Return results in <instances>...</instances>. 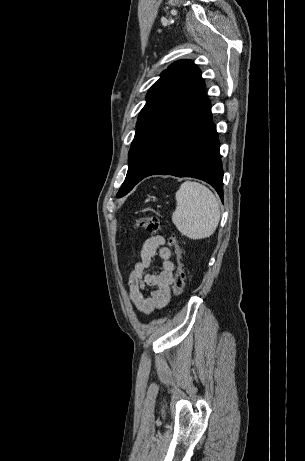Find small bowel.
Returning a JSON list of instances; mask_svg holds the SVG:
<instances>
[{"label": "small bowel", "instance_id": "small-bowel-1", "mask_svg": "<svg viewBox=\"0 0 305 461\" xmlns=\"http://www.w3.org/2000/svg\"><path fill=\"white\" fill-rule=\"evenodd\" d=\"M156 255L161 260L160 270L152 271L150 267ZM171 256V249L160 235L149 237L140 246V261L128 279L130 299L140 313L151 314L168 304L175 269ZM149 288L153 290L148 292Z\"/></svg>", "mask_w": 305, "mask_h": 461}]
</instances>
